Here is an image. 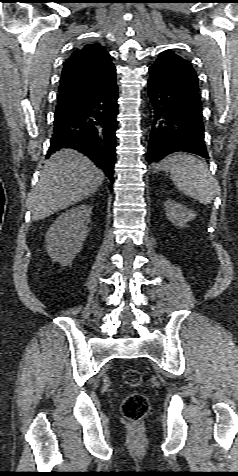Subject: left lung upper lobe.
Wrapping results in <instances>:
<instances>
[{
    "label": "left lung upper lobe",
    "instance_id": "1",
    "mask_svg": "<svg viewBox=\"0 0 238 476\" xmlns=\"http://www.w3.org/2000/svg\"><path fill=\"white\" fill-rule=\"evenodd\" d=\"M150 68L159 71L179 89L200 97L198 76L190 61L166 50L159 54V57Z\"/></svg>",
    "mask_w": 238,
    "mask_h": 476
}]
</instances>
